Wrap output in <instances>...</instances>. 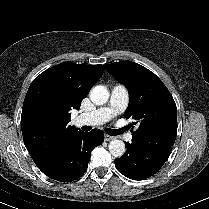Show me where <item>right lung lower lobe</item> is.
Returning a JSON list of instances; mask_svg holds the SVG:
<instances>
[{"label": "right lung lower lobe", "instance_id": "1", "mask_svg": "<svg viewBox=\"0 0 209 209\" xmlns=\"http://www.w3.org/2000/svg\"><path fill=\"white\" fill-rule=\"evenodd\" d=\"M102 142L103 133L99 129L89 133L79 131L39 169L54 180L74 181L86 171L91 150Z\"/></svg>", "mask_w": 209, "mask_h": 209}]
</instances>
